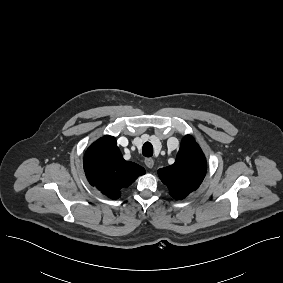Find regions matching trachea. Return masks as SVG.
Wrapping results in <instances>:
<instances>
[{"mask_svg":"<svg viewBox=\"0 0 283 283\" xmlns=\"http://www.w3.org/2000/svg\"><path fill=\"white\" fill-rule=\"evenodd\" d=\"M142 154L145 157H151L153 155V146L150 142H145L142 148Z\"/></svg>","mask_w":283,"mask_h":283,"instance_id":"1","label":"trachea"}]
</instances>
